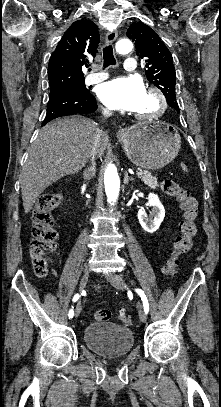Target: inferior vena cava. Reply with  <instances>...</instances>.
<instances>
[{
    "label": "inferior vena cava",
    "instance_id": "obj_1",
    "mask_svg": "<svg viewBox=\"0 0 221 407\" xmlns=\"http://www.w3.org/2000/svg\"><path fill=\"white\" fill-rule=\"evenodd\" d=\"M102 114L104 117H110L112 115V112L109 111L108 109H103ZM103 134V131L100 129H97V133L95 136V140L93 143L92 151H91V157H92V162L95 160V157L99 154L100 152V141H101V136Z\"/></svg>",
    "mask_w": 221,
    "mask_h": 407
}]
</instances>
